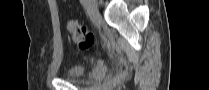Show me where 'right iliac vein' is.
I'll return each mask as SVG.
<instances>
[{
	"label": "right iliac vein",
	"instance_id": "right-iliac-vein-1",
	"mask_svg": "<svg viewBox=\"0 0 209 90\" xmlns=\"http://www.w3.org/2000/svg\"><path fill=\"white\" fill-rule=\"evenodd\" d=\"M88 3H89V8H90L92 14H93L94 16H96V15L98 14L96 2L93 1V0H91V1H88Z\"/></svg>",
	"mask_w": 209,
	"mask_h": 90
}]
</instances>
